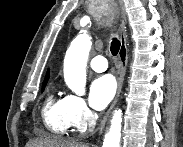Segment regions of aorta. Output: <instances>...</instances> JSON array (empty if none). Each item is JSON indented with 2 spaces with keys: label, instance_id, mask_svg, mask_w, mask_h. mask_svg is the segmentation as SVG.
Listing matches in <instances>:
<instances>
[{
  "label": "aorta",
  "instance_id": "1",
  "mask_svg": "<svg viewBox=\"0 0 183 147\" xmlns=\"http://www.w3.org/2000/svg\"><path fill=\"white\" fill-rule=\"evenodd\" d=\"M91 37L80 33L71 43L64 59V80L69 89L83 96L86 93V64L91 49ZM122 111L113 112L109 131L106 133L103 147H120Z\"/></svg>",
  "mask_w": 183,
  "mask_h": 147
}]
</instances>
